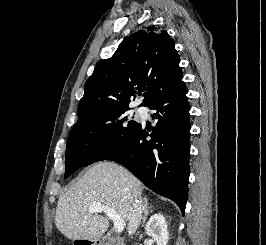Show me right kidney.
<instances>
[{
  "label": "right kidney",
  "mask_w": 266,
  "mask_h": 245,
  "mask_svg": "<svg viewBox=\"0 0 266 245\" xmlns=\"http://www.w3.org/2000/svg\"><path fill=\"white\" fill-rule=\"evenodd\" d=\"M146 235L152 237L156 241V245H167L168 243V231L165 217L158 213V215H152L149 221H147L145 227Z\"/></svg>",
  "instance_id": "ca27d5eb"
}]
</instances>
